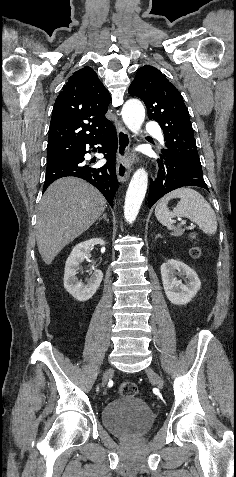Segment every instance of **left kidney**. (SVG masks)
Segmentation results:
<instances>
[{
    "mask_svg": "<svg viewBox=\"0 0 236 477\" xmlns=\"http://www.w3.org/2000/svg\"><path fill=\"white\" fill-rule=\"evenodd\" d=\"M160 270L164 291L171 303L185 305L200 290L201 282L198 275L183 262L169 259L161 265ZM176 275H185L188 280L186 284H183L181 280H177Z\"/></svg>",
    "mask_w": 236,
    "mask_h": 477,
    "instance_id": "obj_1",
    "label": "left kidney"
}]
</instances>
